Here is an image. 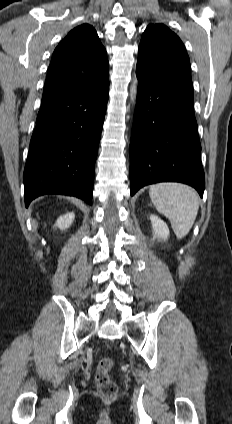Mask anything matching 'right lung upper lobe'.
Listing matches in <instances>:
<instances>
[{
    "instance_id": "1",
    "label": "right lung upper lobe",
    "mask_w": 232,
    "mask_h": 424,
    "mask_svg": "<svg viewBox=\"0 0 232 424\" xmlns=\"http://www.w3.org/2000/svg\"><path fill=\"white\" fill-rule=\"evenodd\" d=\"M106 50L88 24L71 30L54 50L42 100L100 87L109 82Z\"/></svg>"
}]
</instances>
